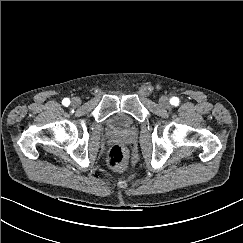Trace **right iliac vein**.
Returning a JSON list of instances; mask_svg holds the SVG:
<instances>
[{"instance_id": "right-iliac-vein-1", "label": "right iliac vein", "mask_w": 243, "mask_h": 243, "mask_svg": "<svg viewBox=\"0 0 243 243\" xmlns=\"http://www.w3.org/2000/svg\"><path fill=\"white\" fill-rule=\"evenodd\" d=\"M71 104L74 106V107H77L81 104V99L79 97H74L71 101Z\"/></svg>"}]
</instances>
